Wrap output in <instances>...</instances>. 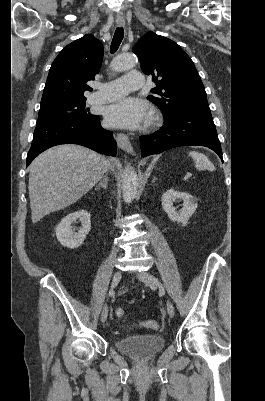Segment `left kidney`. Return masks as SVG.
Wrapping results in <instances>:
<instances>
[{
  "label": "left kidney",
  "instance_id": "left-kidney-1",
  "mask_svg": "<svg viewBox=\"0 0 265 401\" xmlns=\"http://www.w3.org/2000/svg\"><path fill=\"white\" fill-rule=\"evenodd\" d=\"M161 198L162 209L167 213L169 219L174 221V223L175 221H177V223H182V225L188 223L190 217H192L198 207V198H196V196H192L189 192H179V190H174V188L166 190ZM177 198H182V201H184L180 211H175V207H173V203L177 201Z\"/></svg>",
  "mask_w": 265,
  "mask_h": 401
}]
</instances>
